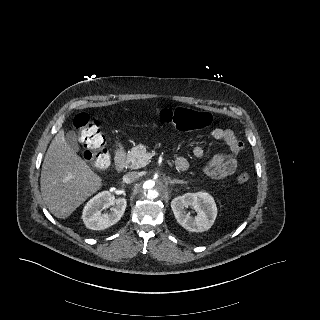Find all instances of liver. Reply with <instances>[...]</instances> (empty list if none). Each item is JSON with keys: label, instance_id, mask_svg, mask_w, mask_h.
Here are the masks:
<instances>
[{"label": "liver", "instance_id": "liver-1", "mask_svg": "<svg viewBox=\"0 0 320 320\" xmlns=\"http://www.w3.org/2000/svg\"><path fill=\"white\" fill-rule=\"evenodd\" d=\"M101 181L60 130L46 152L40 178L42 198L49 211L57 218H67L100 189Z\"/></svg>", "mask_w": 320, "mask_h": 320}]
</instances>
